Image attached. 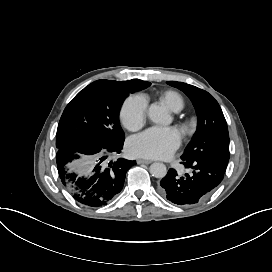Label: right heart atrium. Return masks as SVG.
<instances>
[{
	"mask_svg": "<svg viewBox=\"0 0 272 272\" xmlns=\"http://www.w3.org/2000/svg\"><path fill=\"white\" fill-rule=\"evenodd\" d=\"M147 100L144 96L135 94L129 96L121 109V121L130 131L140 129L146 120Z\"/></svg>",
	"mask_w": 272,
	"mask_h": 272,
	"instance_id": "d8ad5b80",
	"label": "right heart atrium"
}]
</instances>
